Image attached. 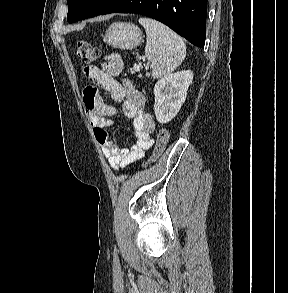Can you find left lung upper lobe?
Returning <instances> with one entry per match:
<instances>
[{"label":"left lung upper lobe","mask_w":288,"mask_h":293,"mask_svg":"<svg viewBox=\"0 0 288 293\" xmlns=\"http://www.w3.org/2000/svg\"><path fill=\"white\" fill-rule=\"evenodd\" d=\"M117 0H67L69 11L67 21L73 23L100 15Z\"/></svg>","instance_id":"1"}]
</instances>
